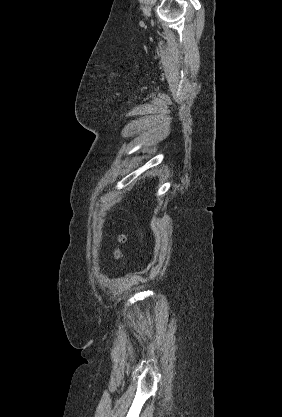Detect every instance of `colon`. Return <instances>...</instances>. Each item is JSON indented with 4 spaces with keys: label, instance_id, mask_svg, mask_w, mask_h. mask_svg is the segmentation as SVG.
Wrapping results in <instances>:
<instances>
[{
    "label": "colon",
    "instance_id": "obj_1",
    "mask_svg": "<svg viewBox=\"0 0 282 417\" xmlns=\"http://www.w3.org/2000/svg\"><path fill=\"white\" fill-rule=\"evenodd\" d=\"M125 240H126V238H125L124 235H120V236H118L116 238V243H115V246H114V254L116 256L119 255V253H120V247L125 242Z\"/></svg>",
    "mask_w": 282,
    "mask_h": 417
}]
</instances>
